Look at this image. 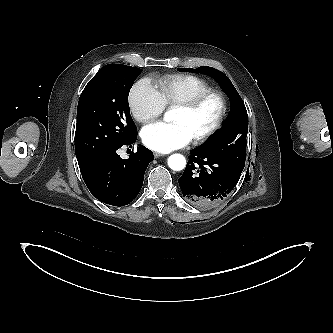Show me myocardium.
Segmentation results:
<instances>
[{
  "label": "myocardium",
  "instance_id": "obj_1",
  "mask_svg": "<svg viewBox=\"0 0 333 333\" xmlns=\"http://www.w3.org/2000/svg\"><path fill=\"white\" fill-rule=\"evenodd\" d=\"M211 98H217L220 102V113L216 120V122L212 125V127L207 130L205 133L196 136L193 138L194 144H202L212 138L224 125V122L228 113V102L225 95L217 90H209L204 93H201L192 99L183 102L176 106V109L184 110L187 112H193L197 110L201 105H203L207 100Z\"/></svg>",
  "mask_w": 333,
  "mask_h": 333
}]
</instances>
